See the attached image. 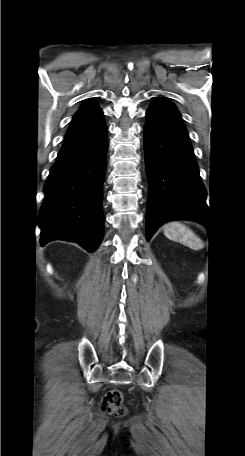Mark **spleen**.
<instances>
[{
	"label": "spleen",
	"mask_w": 245,
	"mask_h": 456,
	"mask_svg": "<svg viewBox=\"0 0 245 456\" xmlns=\"http://www.w3.org/2000/svg\"><path fill=\"white\" fill-rule=\"evenodd\" d=\"M164 235L174 241H180L192 249H199L202 246L201 240L195 233L178 221L166 224Z\"/></svg>",
	"instance_id": "spleen-1"
}]
</instances>
